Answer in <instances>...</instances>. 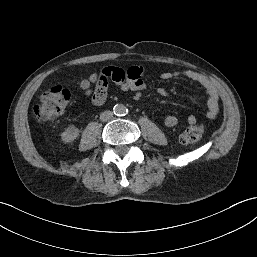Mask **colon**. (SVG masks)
<instances>
[{
	"mask_svg": "<svg viewBox=\"0 0 257 257\" xmlns=\"http://www.w3.org/2000/svg\"><path fill=\"white\" fill-rule=\"evenodd\" d=\"M91 83L95 87L104 88L108 82L104 77H91L88 81L83 83L84 87L90 86ZM70 100V93L67 89L60 85H55L46 90L40 101L34 105L33 113L40 121H51L60 116L67 103ZM205 133V126L203 124L191 125L187 127L180 135V142L188 145L199 141Z\"/></svg>",
	"mask_w": 257,
	"mask_h": 257,
	"instance_id": "1",
	"label": "colon"
}]
</instances>
